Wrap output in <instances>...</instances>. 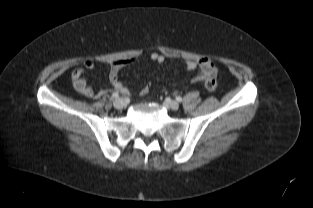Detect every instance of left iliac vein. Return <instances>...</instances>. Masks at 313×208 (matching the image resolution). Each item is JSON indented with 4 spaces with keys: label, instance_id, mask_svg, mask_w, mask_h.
I'll list each match as a JSON object with an SVG mask.
<instances>
[{
    "label": "left iliac vein",
    "instance_id": "1",
    "mask_svg": "<svg viewBox=\"0 0 313 208\" xmlns=\"http://www.w3.org/2000/svg\"><path fill=\"white\" fill-rule=\"evenodd\" d=\"M165 105L171 108L172 110H177L179 108V103L174 100H166Z\"/></svg>",
    "mask_w": 313,
    "mask_h": 208
}]
</instances>
